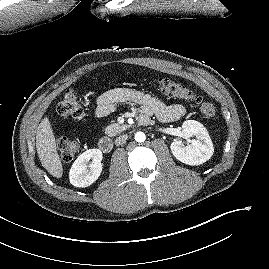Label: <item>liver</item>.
<instances>
[{
  "label": "liver",
  "instance_id": "obj_1",
  "mask_svg": "<svg viewBox=\"0 0 269 269\" xmlns=\"http://www.w3.org/2000/svg\"><path fill=\"white\" fill-rule=\"evenodd\" d=\"M36 149L42 166L53 177L60 178L63 174V168L48 117H45L37 128Z\"/></svg>",
  "mask_w": 269,
  "mask_h": 269
}]
</instances>
